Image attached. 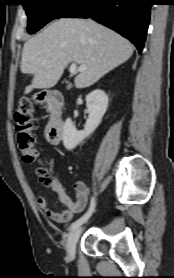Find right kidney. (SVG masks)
<instances>
[{
    "label": "right kidney",
    "instance_id": "right-kidney-1",
    "mask_svg": "<svg viewBox=\"0 0 174 278\" xmlns=\"http://www.w3.org/2000/svg\"><path fill=\"white\" fill-rule=\"evenodd\" d=\"M88 119L84 130L77 131L70 118H67L63 126V144L68 150L74 149L85 138L92 134L102 121L107 111L108 96L101 89H96L86 96Z\"/></svg>",
    "mask_w": 174,
    "mask_h": 278
}]
</instances>
